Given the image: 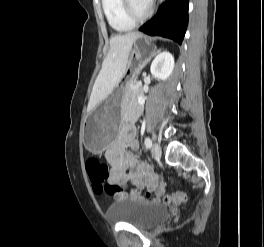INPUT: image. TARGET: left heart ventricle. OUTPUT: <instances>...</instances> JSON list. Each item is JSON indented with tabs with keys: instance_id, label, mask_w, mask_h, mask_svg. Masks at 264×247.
Wrapping results in <instances>:
<instances>
[{
	"instance_id": "b2bd125f",
	"label": "left heart ventricle",
	"mask_w": 264,
	"mask_h": 247,
	"mask_svg": "<svg viewBox=\"0 0 264 247\" xmlns=\"http://www.w3.org/2000/svg\"><path fill=\"white\" fill-rule=\"evenodd\" d=\"M132 6L136 14L141 15L143 14L147 8L148 5L144 4L141 0H131Z\"/></svg>"
}]
</instances>
